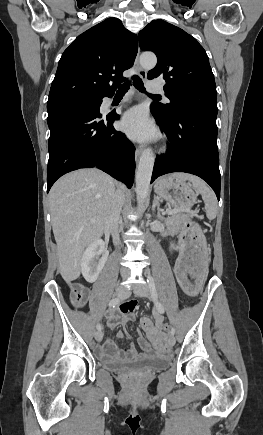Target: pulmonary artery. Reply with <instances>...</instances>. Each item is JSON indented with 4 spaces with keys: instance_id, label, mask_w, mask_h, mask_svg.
I'll return each instance as SVG.
<instances>
[{
    "instance_id": "1",
    "label": "pulmonary artery",
    "mask_w": 263,
    "mask_h": 435,
    "mask_svg": "<svg viewBox=\"0 0 263 435\" xmlns=\"http://www.w3.org/2000/svg\"><path fill=\"white\" fill-rule=\"evenodd\" d=\"M147 89L151 93H161L162 92L161 85L156 81L147 82ZM165 100L167 101V98H165ZM109 101H111V100H109ZM125 101H127V99L123 100V102H125Z\"/></svg>"
}]
</instances>
